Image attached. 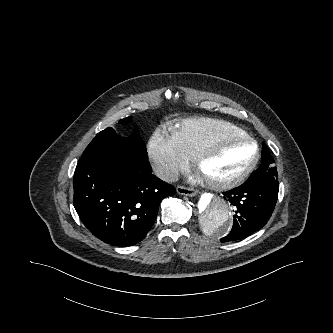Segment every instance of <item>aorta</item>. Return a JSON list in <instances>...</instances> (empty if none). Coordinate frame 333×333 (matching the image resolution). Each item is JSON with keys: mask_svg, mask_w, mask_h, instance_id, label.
Returning a JSON list of instances; mask_svg holds the SVG:
<instances>
[{"mask_svg": "<svg viewBox=\"0 0 333 333\" xmlns=\"http://www.w3.org/2000/svg\"><path fill=\"white\" fill-rule=\"evenodd\" d=\"M230 206L219 194H203L196 203V219L206 234L218 236L230 226Z\"/></svg>", "mask_w": 333, "mask_h": 333, "instance_id": "1", "label": "aorta"}]
</instances>
